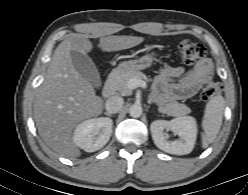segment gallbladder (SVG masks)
Returning a JSON list of instances; mask_svg holds the SVG:
<instances>
[{"label":"gallbladder","mask_w":248,"mask_h":195,"mask_svg":"<svg viewBox=\"0 0 248 195\" xmlns=\"http://www.w3.org/2000/svg\"><path fill=\"white\" fill-rule=\"evenodd\" d=\"M70 55L76 71L93 86L100 87V74L92 59L88 55L77 51H71Z\"/></svg>","instance_id":"gallbladder-1"}]
</instances>
